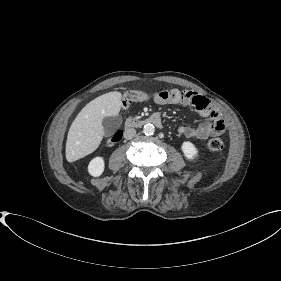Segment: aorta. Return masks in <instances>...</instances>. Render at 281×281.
<instances>
[{"mask_svg":"<svg viewBox=\"0 0 281 281\" xmlns=\"http://www.w3.org/2000/svg\"><path fill=\"white\" fill-rule=\"evenodd\" d=\"M143 132L145 135H153L155 132V127L153 124H145L143 127Z\"/></svg>","mask_w":281,"mask_h":281,"instance_id":"obj_1","label":"aorta"}]
</instances>
